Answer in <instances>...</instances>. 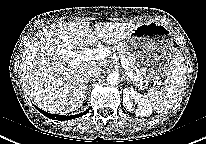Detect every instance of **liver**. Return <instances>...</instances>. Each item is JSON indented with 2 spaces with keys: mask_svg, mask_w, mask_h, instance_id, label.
<instances>
[{
  "mask_svg": "<svg viewBox=\"0 0 206 144\" xmlns=\"http://www.w3.org/2000/svg\"><path fill=\"white\" fill-rule=\"evenodd\" d=\"M139 26L134 23H53L40 30L25 50L20 65L23 87L43 110L65 115L80 108L86 98V72L92 65L106 67L108 60L75 62L62 50L81 49L97 40L115 43Z\"/></svg>",
  "mask_w": 206,
  "mask_h": 144,
  "instance_id": "6515ba94",
  "label": "liver"
}]
</instances>
